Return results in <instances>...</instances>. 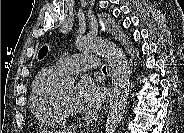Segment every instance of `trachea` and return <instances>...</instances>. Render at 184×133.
I'll use <instances>...</instances> for the list:
<instances>
[{
  "label": "trachea",
  "mask_w": 184,
  "mask_h": 133,
  "mask_svg": "<svg viewBox=\"0 0 184 133\" xmlns=\"http://www.w3.org/2000/svg\"><path fill=\"white\" fill-rule=\"evenodd\" d=\"M102 70H103V72H106V67H103V69H102Z\"/></svg>",
  "instance_id": "1"
}]
</instances>
